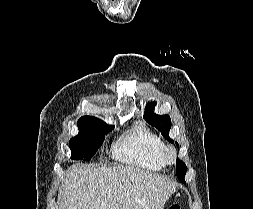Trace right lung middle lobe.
<instances>
[{
  "mask_svg": "<svg viewBox=\"0 0 253 209\" xmlns=\"http://www.w3.org/2000/svg\"><path fill=\"white\" fill-rule=\"evenodd\" d=\"M112 128L95 117L79 119V133L69 142L71 159L90 161Z\"/></svg>",
  "mask_w": 253,
  "mask_h": 209,
  "instance_id": "right-lung-middle-lobe-1",
  "label": "right lung middle lobe"
}]
</instances>
